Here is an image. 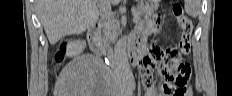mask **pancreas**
Masks as SVG:
<instances>
[{"label": "pancreas", "instance_id": "1", "mask_svg": "<svg viewBox=\"0 0 232 96\" xmlns=\"http://www.w3.org/2000/svg\"><path fill=\"white\" fill-rule=\"evenodd\" d=\"M158 4H152V5H139L137 8L132 9V13L134 16H136L139 19L141 17H147L149 15H152L155 10L158 9ZM104 38L101 39V41L105 44L108 40L114 41L119 32L118 27L116 25V21L112 18H108L107 21L104 23Z\"/></svg>", "mask_w": 232, "mask_h": 96}]
</instances>
